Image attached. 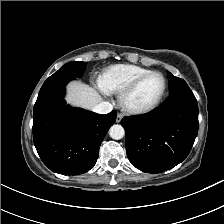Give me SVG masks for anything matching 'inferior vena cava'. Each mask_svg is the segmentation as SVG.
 <instances>
[{
	"label": "inferior vena cava",
	"mask_w": 224,
	"mask_h": 224,
	"mask_svg": "<svg viewBox=\"0 0 224 224\" xmlns=\"http://www.w3.org/2000/svg\"><path fill=\"white\" fill-rule=\"evenodd\" d=\"M113 109V106L109 102H100L96 106H94L93 111L98 114H107L111 112Z\"/></svg>",
	"instance_id": "inferior-vena-cava-1"
}]
</instances>
